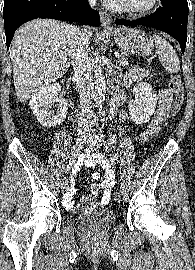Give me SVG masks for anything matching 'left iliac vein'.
Wrapping results in <instances>:
<instances>
[{
  "label": "left iliac vein",
  "mask_w": 195,
  "mask_h": 270,
  "mask_svg": "<svg viewBox=\"0 0 195 270\" xmlns=\"http://www.w3.org/2000/svg\"><path fill=\"white\" fill-rule=\"evenodd\" d=\"M86 140H87V144L90 146V148H99L102 145L99 136L95 133V130L93 128L90 129ZM120 189H121L122 195L127 196L128 186L125 182H123L121 184Z\"/></svg>",
  "instance_id": "1"
}]
</instances>
